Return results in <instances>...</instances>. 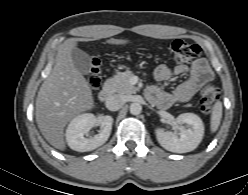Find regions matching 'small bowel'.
I'll return each mask as SVG.
<instances>
[{
	"label": "small bowel",
	"instance_id": "c3829d8e",
	"mask_svg": "<svg viewBox=\"0 0 248 195\" xmlns=\"http://www.w3.org/2000/svg\"><path fill=\"white\" fill-rule=\"evenodd\" d=\"M172 76H184L185 79L172 91H166L161 83ZM154 77L159 85L150 87L147 95L158 106L169 108L173 104L191 100L198 89L212 79L213 72L205 60H198L190 66L180 64L170 68L159 65L154 71Z\"/></svg>",
	"mask_w": 248,
	"mask_h": 195
}]
</instances>
